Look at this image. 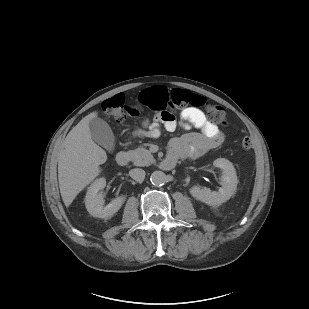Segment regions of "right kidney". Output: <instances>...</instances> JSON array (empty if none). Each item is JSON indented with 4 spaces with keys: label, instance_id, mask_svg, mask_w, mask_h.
Segmentation results:
<instances>
[{
    "label": "right kidney",
    "instance_id": "ca27d5eb",
    "mask_svg": "<svg viewBox=\"0 0 309 309\" xmlns=\"http://www.w3.org/2000/svg\"><path fill=\"white\" fill-rule=\"evenodd\" d=\"M106 186L105 178L96 179L88 188L85 197V206L89 214L98 218L112 217L124 203L126 196H119L111 201L107 206L104 205V195L101 190Z\"/></svg>",
    "mask_w": 309,
    "mask_h": 309
}]
</instances>
